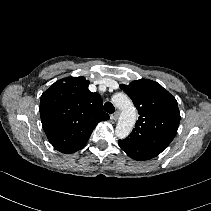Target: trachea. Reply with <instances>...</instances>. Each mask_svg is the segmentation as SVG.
Masks as SVG:
<instances>
[{
	"label": "trachea",
	"mask_w": 211,
	"mask_h": 211,
	"mask_svg": "<svg viewBox=\"0 0 211 211\" xmlns=\"http://www.w3.org/2000/svg\"><path fill=\"white\" fill-rule=\"evenodd\" d=\"M104 110H105L107 113L112 114V113H114L115 108H114V106H113V104H112L111 102H106V103L104 104Z\"/></svg>",
	"instance_id": "trachea-1"
}]
</instances>
